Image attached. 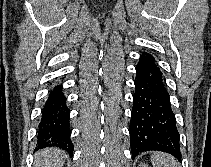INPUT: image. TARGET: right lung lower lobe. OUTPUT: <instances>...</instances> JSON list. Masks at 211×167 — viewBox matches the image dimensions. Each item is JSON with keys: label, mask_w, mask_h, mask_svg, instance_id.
Here are the masks:
<instances>
[{"label": "right lung lower lobe", "mask_w": 211, "mask_h": 167, "mask_svg": "<svg viewBox=\"0 0 211 167\" xmlns=\"http://www.w3.org/2000/svg\"><path fill=\"white\" fill-rule=\"evenodd\" d=\"M69 115L66 97L61 86L57 85L49 92L42 110L37 135L38 149L53 146L72 154L74 145L70 139Z\"/></svg>", "instance_id": "right-lung-lower-lobe-1"}]
</instances>
